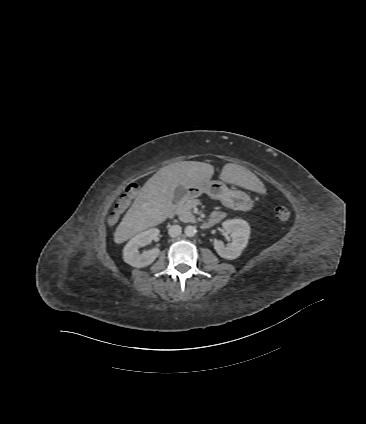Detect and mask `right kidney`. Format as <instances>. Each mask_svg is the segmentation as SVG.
I'll list each match as a JSON object with an SVG mask.
<instances>
[{"instance_id": "ca27d5eb", "label": "right kidney", "mask_w": 366, "mask_h": 424, "mask_svg": "<svg viewBox=\"0 0 366 424\" xmlns=\"http://www.w3.org/2000/svg\"><path fill=\"white\" fill-rule=\"evenodd\" d=\"M159 229L151 228L135 235L123 249V260L136 268L149 266L158 257L160 250L154 247L143 253H139L138 249L149 244L159 235Z\"/></svg>"}]
</instances>
